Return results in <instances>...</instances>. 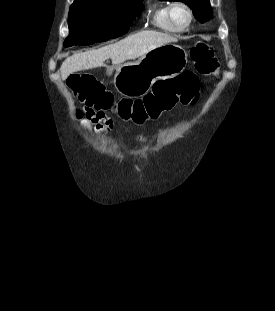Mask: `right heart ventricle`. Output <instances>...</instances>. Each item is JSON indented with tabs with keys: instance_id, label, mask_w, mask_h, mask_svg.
<instances>
[{
	"instance_id": "obj_1",
	"label": "right heart ventricle",
	"mask_w": 275,
	"mask_h": 311,
	"mask_svg": "<svg viewBox=\"0 0 275 311\" xmlns=\"http://www.w3.org/2000/svg\"><path fill=\"white\" fill-rule=\"evenodd\" d=\"M169 5L166 1L154 3L149 15L150 23L160 31L177 33L178 31L168 21L167 10Z\"/></svg>"
}]
</instances>
